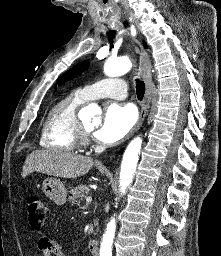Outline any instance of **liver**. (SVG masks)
<instances>
[{
    "label": "liver",
    "mask_w": 221,
    "mask_h": 256,
    "mask_svg": "<svg viewBox=\"0 0 221 256\" xmlns=\"http://www.w3.org/2000/svg\"><path fill=\"white\" fill-rule=\"evenodd\" d=\"M94 165L92 158L61 150L33 151L25 160L22 177L40 172L61 178H77L85 175Z\"/></svg>",
    "instance_id": "obj_1"
}]
</instances>
